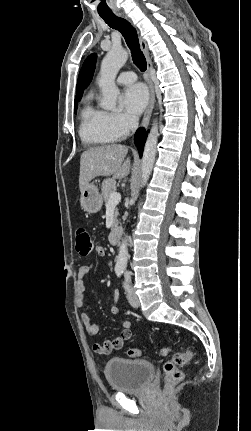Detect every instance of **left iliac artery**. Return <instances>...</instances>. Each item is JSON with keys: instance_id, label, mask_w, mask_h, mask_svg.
Returning a JSON list of instances; mask_svg holds the SVG:
<instances>
[{"instance_id": "left-iliac-artery-1", "label": "left iliac artery", "mask_w": 251, "mask_h": 431, "mask_svg": "<svg viewBox=\"0 0 251 431\" xmlns=\"http://www.w3.org/2000/svg\"><path fill=\"white\" fill-rule=\"evenodd\" d=\"M125 289H128V287L126 285H124Z\"/></svg>"}]
</instances>
